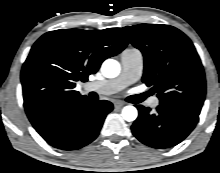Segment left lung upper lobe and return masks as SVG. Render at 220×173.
Returning <instances> with one entry per match:
<instances>
[{"mask_svg":"<svg viewBox=\"0 0 220 173\" xmlns=\"http://www.w3.org/2000/svg\"><path fill=\"white\" fill-rule=\"evenodd\" d=\"M144 56L142 81L157 93L160 105L200 114L205 74L191 40L169 25L139 24L117 28Z\"/></svg>","mask_w":220,"mask_h":173,"instance_id":"obj_1","label":"left lung upper lobe"}]
</instances>
